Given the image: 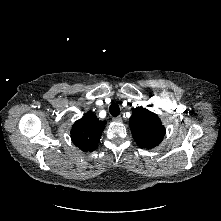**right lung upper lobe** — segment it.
<instances>
[{"label": "right lung upper lobe", "instance_id": "cb5924a9", "mask_svg": "<svg viewBox=\"0 0 221 221\" xmlns=\"http://www.w3.org/2000/svg\"><path fill=\"white\" fill-rule=\"evenodd\" d=\"M105 125L106 121H100L89 111L73 124L71 139L82 151H94L98 147Z\"/></svg>", "mask_w": 221, "mask_h": 221}]
</instances>
